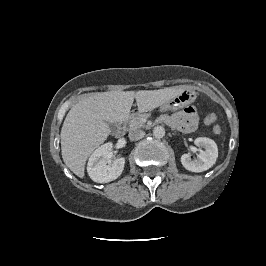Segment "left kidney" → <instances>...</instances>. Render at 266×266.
I'll return each mask as SVG.
<instances>
[{
  "mask_svg": "<svg viewBox=\"0 0 266 266\" xmlns=\"http://www.w3.org/2000/svg\"><path fill=\"white\" fill-rule=\"evenodd\" d=\"M194 144L203 148L197 159H191L190 154H183L181 156V163L183 167L192 172H203L211 168L218 157V148L216 143L206 137H198L194 140Z\"/></svg>",
  "mask_w": 266,
  "mask_h": 266,
  "instance_id": "obj_1",
  "label": "left kidney"
}]
</instances>
